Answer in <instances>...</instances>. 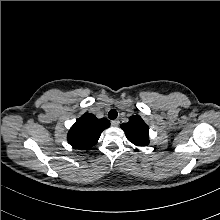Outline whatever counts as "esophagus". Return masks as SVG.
<instances>
[{
  "label": "esophagus",
  "instance_id": "1",
  "mask_svg": "<svg viewBox=\"0 0 220 220\" xmlns=\"http://www.w3.org/2000/svg\"><path fill=\"white\" fill-rule=\"evenodd\" d=\"M120 124V121L118 119L112 120L111 125L114 127H117Z\"/></svg>",
  "mask_w": 220,
  "mask_h": 220
}]
</instances>
